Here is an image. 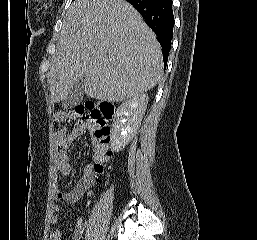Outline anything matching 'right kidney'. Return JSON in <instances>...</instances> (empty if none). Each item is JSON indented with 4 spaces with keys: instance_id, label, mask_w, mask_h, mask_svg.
Instances as JSON below:
<instances>
[{
    "instance_id": "right-kidney-1",
    "label": "right kidney",
    "mask_w": 257,
    "mask_h": 240,
    "mask_svg": "<svg viewBox=\"0 0 257 240\" xmlns=\"http://www.w3.org/2000/svg\"><path fill=\"white\" fill-rule=\"evenodd\" d=\"M148 95L139 94L122 103L114 115L111 131V147L119 152L135 136L145 114Z\"/></svg>"
}]
</instances>
